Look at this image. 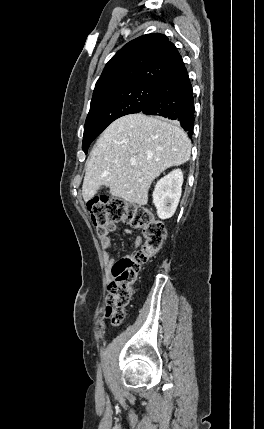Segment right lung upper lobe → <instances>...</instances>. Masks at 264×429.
Returning <instances> with one entry per match:
<instances>
[{
	"label": "right lung upper lobe",
	"mask_w": 264,
	"mask_h": 429,
	"mask_svg": "<svg viewBox=\"0 0 264 429\" xmlns=\"http://www.w3.org/2000/svg\"><path fill=\"white\" fill-rule=\"evenodd\" d=\"M182 58L168 38L147 34L127 43L106 64L93 97L137 84L158 86L181 63Z\"/></svg>",
	"instance_id": "right-lung-upper-lobe-1"
}]
</instances>
